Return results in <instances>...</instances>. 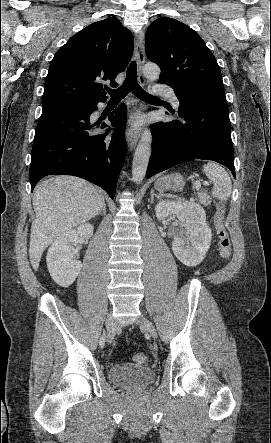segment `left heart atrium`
<instances>
[{"mask_svg": "<svg viewBox=\"0 0 271 443\" xmlns=\"http://www.w3.org/2000/svg\"><path fill=\"white\" fill-rule=\"evenodd\" d=\"M140 124H141V120L140 119H133L131 122H130V129L131 130H136L139 126H140Z\"/></svg>", "mask_w": 271, "mask_h": 443, "instance_id": "1", "label": "left heart atrium"}]
</instances>
